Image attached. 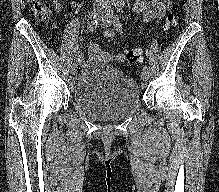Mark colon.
<instances>
[{
	"mask_svg": "<svg viewBox=\"0 0 219 192\" xmlns=\"http://www.w3.org/2000/svg\"><path fill=\"white\" fill-rule=\"evenodd\" d=\"M32 9L36 17L38 18H48L52 13L51 5L45 0H32ZM176 23L175 15L173 13H168L164 19L163 27L168 30L172 28ZM143 56L142 48H132L127 50L124 54H122L123 61L128 63H136L141 60ZM101 60L103 62H108L111 60V55L103 52L101 55Z\"/></svg>",
	"mask_w": 219,
	"mask_h": 192,
	"instance_id": "obj_1",
	"label": "colon"
}]
</instances>
